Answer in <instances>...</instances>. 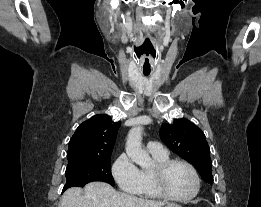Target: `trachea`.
Instances as JSON below:
<instances>
[{"label": "trachea", "mask_w": 261, "mask_h": 207, "mask_svg": "<svg viewBox=\"0 0 261 207\" xmlns=\"http://www.w3.org/2000/svg\"><path fill=\"white\" fill-rule=\"evenodd\" d=\"M145 76H148L149 74H144Z\"/></svg>", "instance_id": "trachea-1"}]
</instances>
